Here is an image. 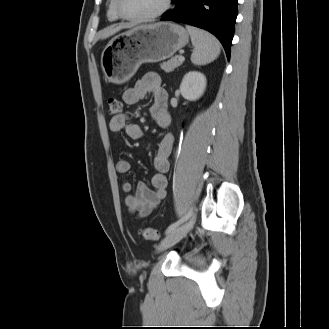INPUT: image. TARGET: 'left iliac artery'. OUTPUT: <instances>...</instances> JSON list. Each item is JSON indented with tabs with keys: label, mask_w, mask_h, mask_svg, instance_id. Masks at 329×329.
<instances>
[{
	"label": "left iliac artery",
	"mask_w": 329,
	"mask_h": 329,
	"mask_svg": "<svg viewBox=\"0 0 329 329\" xmlns=\"http://www.w3.org/2000/svg\"><path fill=\"white\" fill-rule=\"evenodd\" d=\"M193 213V208H191L189 210V212L183 216L181 219H179L178 221L174 222L173 224H171L165 231L166 234H168L169 232H171L172 230H174L176 227H178L179 225H181L183 222H185Z\"/></svg>",
	"instance_id": "left-iliac-artery-1"
}]
</instances>
